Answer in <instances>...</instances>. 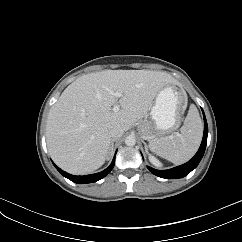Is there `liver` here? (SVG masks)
Listing matches in <instances>:
<instances>
[{
  "label": "liver",
  "instance_id": "6515ba94",
  "mask_svg": "<svg viewBox=\"0 0 242 242\" xmlns=\"http://www.w3.org/2000/svg\"><path fill=\"white\" fill-rule=\"evenodd\" d=\"M171 84L179 82L168 73L150 70H105L79 77L50 109L46 131L50 156L71 174L95 171L107 157L109 130L136 126L159 90ZM116 91L121 97L112 94ZM117 103L121 109L114 112Z\"/></svg>",
  "mask_w": 242,
  "mask_h": 242
}]
</instances>
